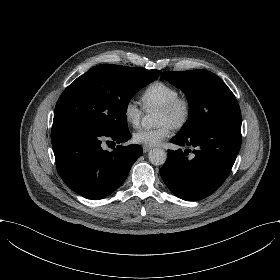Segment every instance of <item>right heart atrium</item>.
I'll use <instances>...</instances> for the list:
<instances>
[{
	"label": "right heart atrium",
	"mask_w": 280,
	"mask_h": 280,
	"mask_svg": "<svg viewBox=\"0 0 280 280\" xmlns=\"http://www.w3.org/2000/svg\"><path fill=\"white\" fill-rule=\"evenodd\" d=\"M123 114L128 123L137 125L142 114V108L138 106L135 100L129 99L124 103Z\"/></svg>",
	"instance_id": "1"
}]
</instances>
